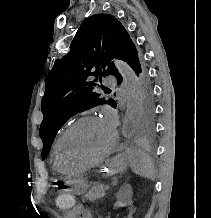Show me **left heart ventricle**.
Listing matches in <instances>:
<instances>
[{
	"instance_id": "left-heart-ventricle-1",
	"label": "left heart ventricle",
	"mask_w": 211,
	"mask_h": 218,
	"mask_svg": "<svg viewBox=\"0 0 211 218\" xmlns=\"http://www.w3.org/2000/svg\"><path fill=\"white\" fill-rule=\"evenodd\" d=\"M112 138V129L102 119L85 121L68 134L62 158L75 163L90 161L111 145Z\"/></svg>"
}]
</instances>
